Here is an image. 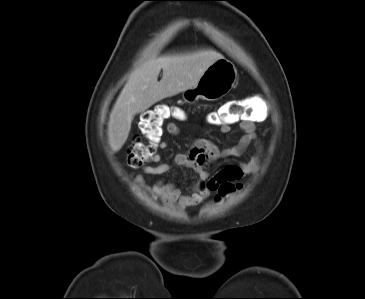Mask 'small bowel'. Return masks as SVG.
<instances>
[{"label": "small bowel", "mask_w": 365, "mask_h": 299, "mask_svg": "<svg viewBox=\"0 0 365 299\" xmlns=\"http://www.w3.org/2000/svg\"><path fill=\"white\" fill-rule=\"evenodd\" d=\"M259 120L258 115L250 120L240 121L239 127L242 131V136L236 145L221 149L216 144L208 139H198L192 147L185 153L177 154L172 164L161 163V156L156 154L153 158L155 165H147L143 168V172L148 175H163L168 172L172 166L187 167L193 170L200 180L203 182L199 191L191 195L182 194L181 190L172 183H167L164 180H159L149 191L158 196L167 203H177L180 208L198 203L205 197L209 190L208 184L211 182L214 186L226 182H237L244 176L254 174L260 165L262 149L257 143V153L247 162H240L236 165L228 166L210 175L207 171L209 162H213L223 158L239 157L246 151L249 144L257 140L255 132V123ZM222 133L230 131L229 125L220 126ZM166 132L170 135H179L180 127L174 123L169 122L166 125ZM159 149H166L167 143L164 140L158 142Z\"/></svg>", "instance_id": "obj_1"}]
</instances>
